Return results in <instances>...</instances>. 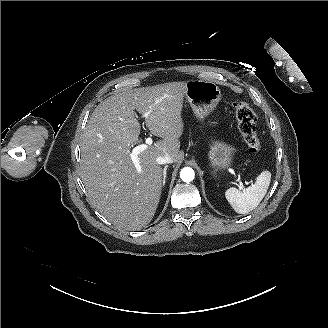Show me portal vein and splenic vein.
Instances as JSON below:
<instances>
[{"label": "portal vein and splenic vein", "mask_w": 328, "mask_h": 328, "mask_svg": "<svg viewBox=\"0 0 328 328\" xmlns=\"http://www.w3.org/2000/svg\"><path fill=\"white\" fill-rule=\"evenodd\" d=\"M152 111H153V108L149 109L148 112L145 113L144 117H148L152 113ZM145 142H146L147 145L151 146L152 145V137H150V136L147 137ZM146 147H147L146 145L141 144V145H138V146L132 148L131 151H130L131 152V154H130L131 159L134 162V165L136 167V172L138 174H142V169L140 167V162L137 160V157H138V154L140 152H142L146 149ZM245 189H246L245 186L241 183L240 184V190L244 191Z\"/></svg>", "instance_id": "portal-vein-and-splenic-vein-1"}]
</instances>
